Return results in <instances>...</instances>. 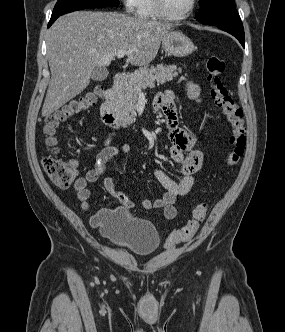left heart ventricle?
Masks as SVG:
<instances>
[{
  "instance_id": "left-heart-ventricle-1",
  "label": "left heart ventricle",
  "mask_w": 285,
  "mask_h": 332,
  "mask_svg": "<svg viewBox=\"0 0 285 332\" xmlns=\"http://www.w3.org/2000/svg\"><path fill=\"white\" fill-rule=\"evenodd\" d=\"M167 12L173 16H179L190 7L191 0H164Z\"/></svg>"
}]
</instances>
